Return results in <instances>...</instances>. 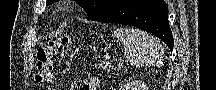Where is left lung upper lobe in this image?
Returning a JSON list of instances; mask_svg holds the SVG:
<instances>
[{"instance_id":"left-lung-upper-lobe-1","label":"left lung upper lobe","mask_w":216,"mask_h":90,"mask_svg":"<svg viewBox=\"0 0 216 90\" xmlns=\"http://www.w3.org/2000/svg\"><path fill=\"white\" fill-rule=\"evenodd\" d=\"M56 0H47L46 4H52ZM125 0H76L78 5L85 9L88 14L87 20H94L100 14L115 8Z\"/></svg>"}]
</instances>
